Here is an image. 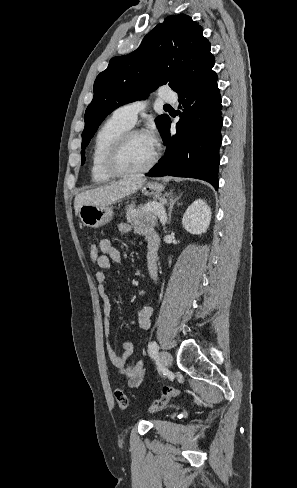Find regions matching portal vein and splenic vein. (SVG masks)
<instances>
[{
    "label": "portal vein and splenic vein",
    "instance_id": "1",
    "mask_svg": "<svg viewBox=\"0 0 297 488\" xmlns=\"http://www.w3.org/2000/svg\"><path fill=\"white\" fill-rule=\"evenodd\" d=\"M147 208H148V209H150V207H149V206H148ZM152 209L157 211V214H159V215H160V221H161V223H163V222H164V216H163V204H162V203H157V204H154V205L152 206Z\"/></svg>",
    "mask_w": 297,
    "mask_h": 488
}]
</instances>
